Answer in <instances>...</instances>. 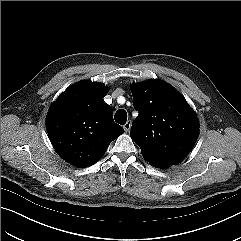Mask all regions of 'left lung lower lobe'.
Instances as JSON below:
<instances>
[{
  "mask_svg": "<svg viewBox=\"0 0 241 241\" xmlns=\"http://www.w3.org/2000/svg\"><path fill=\"white\" fill-rule=\"evenodd\" d=\"M146 161H148L151 166L156 167V168H162V169H164V168L170 167V165L159 164V163H157V162H155V161H150V160H146Z\"/></svg>",
  "mask_w": 241,
  "mask_h": 241,
  "instance_id": "obj_1",
  "label": "left lung lower lobe"
}]
</instances>
